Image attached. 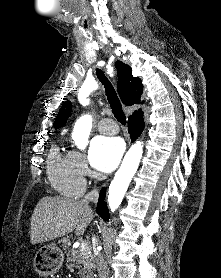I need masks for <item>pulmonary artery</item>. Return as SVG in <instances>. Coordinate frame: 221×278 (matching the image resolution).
<instances>
[{"mask_svg": "<svg viewBox=\"0 0 221 278\" xmlns=\"http://www.w3.org/2000/svg\"><path fill=\"white\" fill-rule=\"evenodd\" d=\"M99 130L104 134H116L118 127L112 120L104 119L99 124Z\"/></svg>", "mask_w": 221, "mask_h": 278, "instance_id": "obj_1", "label": "pulmonary artery"}]
</instances>
